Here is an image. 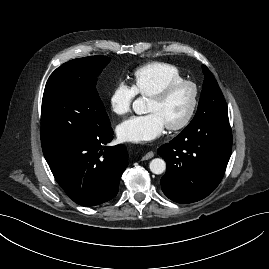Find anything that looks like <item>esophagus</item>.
Segmentation results:
<instances>
[{
    "mask_svg": "<svg viewBox=\"0 0 269 269\" xmlns=\"http://www.w3.org/2000/svg\"><path fill=\"white\" fill-rule=\"evenodd\" d=\"M154 156V153L152 151L146 153L144 156H143V160H148V159H151L152 157Z\"/></svg>",
    "mask_w": 269,
    "mask_h": 269,
    "instance_id": "esophagus-1",
    "label": "esophagus"
}]
</instances>
